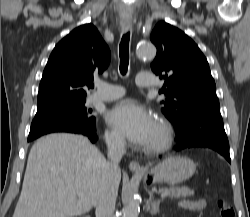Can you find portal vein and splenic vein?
<instances>
[{
    "mask_svg": "<svg viewBox=\"0 0 250 217\" xmlns=\"http://www.w3.org/2000/svg\"><path fill=\"white\" fill-rule=\"evenodd\" d=\"M169 193L166 191V192H163V193H161V197L163 198V197H165V196H167Z\"/></svg>",
    "mask_w": 250,
    "mask_h": 217,
    "instance_id": "18ae733b",
    "label": "portal vein and splenic vein"
}]
</instances>
